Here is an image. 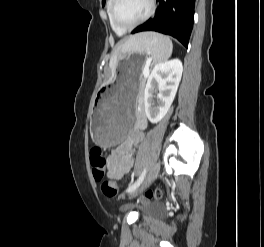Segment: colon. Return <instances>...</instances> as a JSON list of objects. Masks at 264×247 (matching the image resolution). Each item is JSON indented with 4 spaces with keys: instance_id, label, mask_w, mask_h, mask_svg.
<instances>
[{
    "instance_id": "5ec220e1",
    "label": "colon",
    "mask_w": 264,
    "mask_h": 247,
    "mask_svg": "<svg viewBox=\"0 0 264 247\" xmlns=\"http://www.w3.org/2000/svg\"><path fill=\"white\" fill-rule=\"evenodd\" d=\"M90 163L92 166L93 177L96 180H102L107 170V158L100 148H94L90 153ZM102 192L108 197L118 195V188L114 182L106 180L102 183ZM148 198L160 199L162 193L160 190H150L147 192Z\"/></svg>"
}]
</instances>
